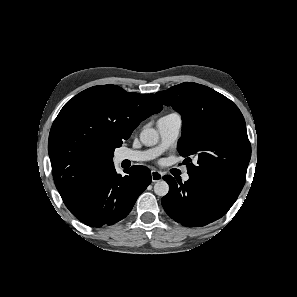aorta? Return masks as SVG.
<instances>
[{"mask_svg": "<svg viewBox=\"0 0 297 297\" xmlns=\"http://www.w3.org/2000/svg\"><path fill=\"white\" fill-rule=\"evenodd\" d=\"M140 140L145 146H153L159 141V134L153 128H146L140 133ZM169 191V185L164 180H158L154 185V192L158 196H165Z\"/></svg>", "mask_w": 297, "mask_h": 297, "instance_id": "762f6f07", "label": "aorta"}]
</instances>
